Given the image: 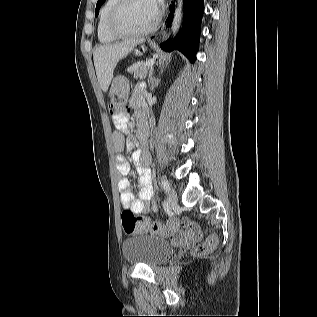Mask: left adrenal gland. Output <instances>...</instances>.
Returning a JSON list of instances; mask_svg holds the SVG:
<instances>
[{"label": "left adrenal gland", "instance_id": "obj_1", "mask_svg": "<svg viewBox=\"0 0 317 317\" xmlns=\"http://www.w3.org/2000/svg\"><path fill=\"white\" fill-rule=\"evenodd\" d=\"M152 74H153V69H151L150 73H149V79H148V83L149 85L152 84L151 89L154 88L153 86V78H152Z\"/></svg>", "mask_w": 317, "mask_h": 317}]
</instances>
